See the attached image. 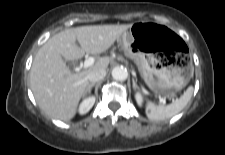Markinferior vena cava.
<instances>
[{
	"mask_svg": "<svg viewBox=\"0 0 225 155\" xmlns=\"http://www.w3.org/2000/svg\"><path fill=\"white\" fill-rule=\"evenodd\" d=\"M106 76V70L104 68H97L89 72L87 78L89 82L96 83L102 80Z\"/></svg>",
	"mask_w": 225,
	"mask_h": 155,
	"instance_id": "obj_1",
	"label": "inferior vena cava"
}]
</instances>
